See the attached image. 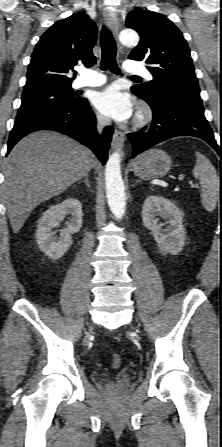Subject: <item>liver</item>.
I'll return each mask as SVG.
<instances>
[{
	"label": "liver",
	"mask_w": 222,
	"mask_h": 447,
	"mask_svg": "<svg viewBox=\"0 0 222 447\" xmlns=\"http://www.w3.org/2000/svg\"><path fill=\"white\" fill-rule=\"evenodd\" d=\"M99 163L71 138L39 131L24 137L4 163V199L14 233L40 203L64 192Z\"/></svg>",
	"instance_id": "6515ba94"
}]
</instances>
